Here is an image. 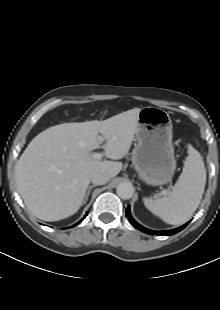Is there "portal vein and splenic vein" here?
Here are the masks:
<instances>
[{
  "label": "portal vein and splenic vein",
  "instance_id": "18ae733b",
  "mask_svg": "<svg viewBox=\"0 0 220 310\" xmlns=\"http://www.w3.org/2000/svg\"><path fill=\"white\" fill-rule=\"evenodd\" d=\"M98 139H99L100 142H103V141H104V138H103V137H100V136H99ZM92 157H93L94 159H96V160H100V159H102L103 154H102V153H93V154H92ZM164 194L166 195L167 193L164 192Z\"/></svg>",
  "mask_w": 220,
  "mask_h": 310
}]
</instances>
